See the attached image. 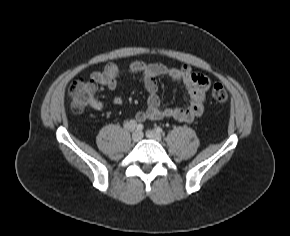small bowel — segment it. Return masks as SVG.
Returning a JSON list of instances; mask_svg holds the SVG:
<instances>
[{
    "label": "small bowel",
    "mask_w": 290,
    "mask_h": 236,
    "mask_svg": "<svg viewBox=\"0 0 290 236\" xmlns=\"http://www.w3.org/2000/svg\"><path fill=\"white\" fill-rule=\"evenodd\" d=\"M121 71L119 65L108 63L102 70L93 71L90 74V79L94 83L114 91L117 89V79ZM128 71L142 78L148 92L147 107L138 111L135 115L137 122L164 118H171L180 122H192L202 114L206 102V92L210 85L206 76L193 72L188 66L171 67L162 63H147L144 61L132 62ZM159 77H167L175 83L182 84L189 96L188 103L178 108H162L156 82ZM112 103L121 105L123 98L115 94L112 96ZM90 105L96 110L104 108V103L95 98Z\"/></svg>",
    "instance_id": "small-bowel-1"
}]
</instances>
